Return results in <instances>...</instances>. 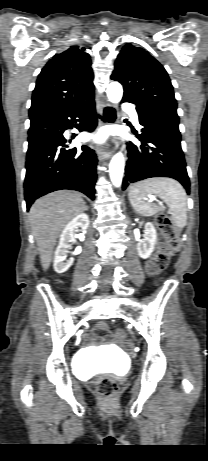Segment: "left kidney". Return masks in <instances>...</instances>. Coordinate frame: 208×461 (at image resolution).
I'll list each match as a JSON object with an SVG mask.
<instances>
[{
    "label": "left kidney",
    "mask_w": 208,
    "mask_h": 461,
    "mask_svg": "<svg viewBox=\"0 0 208 461\" xmlns=\"http://www.w3.org/2000/svg\"><path fill=\"white\" fill-rule=\"evenodd\" d=\"M157 240L156 229L151 222L145 224L144 238L138 240L137 251L142 259H147L152 254Z\"/></svg>",
    "instance_id": "1"
}]
</instances>
